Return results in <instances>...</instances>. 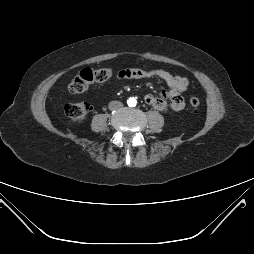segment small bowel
<instances>
[{
  "label": "small bowel",
  "instance_id": "small-bowel-1",
  "mask_svg": "<svg viewBox=\"0 0 254 254\" xmlns=\"http://www.w3.org/2000/svg\"><path fill=\"white\" fill-rule=\"evenodd\" d=\"M119 79H150L158 78L165 82L169 91L158 95L147 94L145 102L153 108L163 111L170 107L173 111H181L185 106L182 93L188 88V79L183 76L173 75L162 69L144 70L139 68L123 69L118 72Z\"/></svg>",
  "mask_w": 254,
  "mask_h": 254
}]
</instances>
